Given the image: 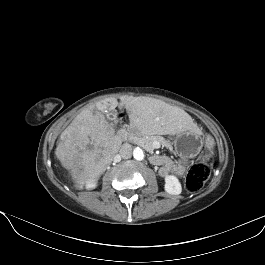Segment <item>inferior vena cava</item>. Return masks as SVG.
I'll return each instance as SVG.
<instances>
[{
  "instance_id": "1",
  "label": "inferior vena cava",
  "mask_w": 265,
  "mask_h": 265,
  "mask_svg": "<svg viewBox=\"0 0 265 265\" xmlns=\"http://www.w3.org/2000/svg\"><path fill=\"white\" fill-rule=\"evenodd\" d=\"M119 155L124 159L130 158L132 155L131 145L128 143L121 145L119 149Z\"/></svg>"
}]
</instances>
